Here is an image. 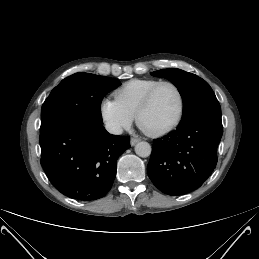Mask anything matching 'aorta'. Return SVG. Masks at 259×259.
Returning a JSON list of instances; mask_svg holds the SVG:
<instances>
[{"mask_svg":"<svg viewBox=\"0 0 259 259\" xmlns=\"http://www.w3.org/2000/svg\"><path fill=\"white\" fill-rule=\"evenodd\" d=\"M135 153L143 158L150 156L151 145L148 142L142 141L135 145Z\"/></svg>","mask_w":259,"mask_h":259,"instance_id":"aorta-1","label":"aorta"}]
</instances>
